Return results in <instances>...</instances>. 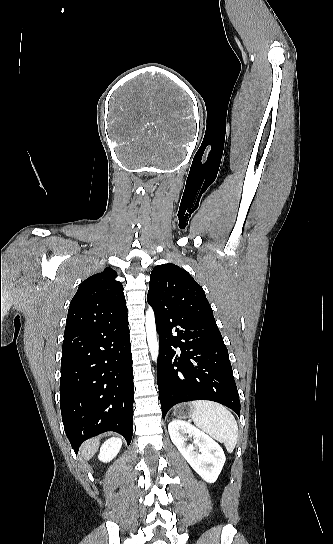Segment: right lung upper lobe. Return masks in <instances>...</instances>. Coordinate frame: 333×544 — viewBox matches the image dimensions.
<instances>
[{"mask_svg": "<svg viewBox=\"0 0 333 544\" xmlns=\"http://www.w3.org/2000/svg\"><path fill=\"white\" fill-rule=\"evenodd\" d=\"M116 277L117 272L108 267L80 284L69 306L64 335L127 314L123 286Z\"/></svg>", "mask_w": 333, "mask_h": 544, "instance_id": "obj_1", "label": "right lung upper lobe"}]
</instances>
